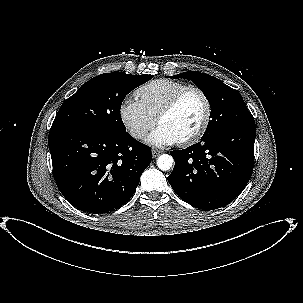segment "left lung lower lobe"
<instances>
[{
    "instance_id": "0a47b994",
    "label": "left lung lower lobe",
    "mask_w": 303,
    "mask_h": 303,
    "mask_svg": "<svg viewBox=\"0 0 303 303\" xmlns=\"http://www.w3.org/2000/svg\"><path fill=\"white\" fill-rule=\"evenodd\" d=\"M255 125L217 131L199 143L171 151L175 166L168 182L188 204L221 208L245 188L254 167Z\"/></svg>"
}]
</instances>
